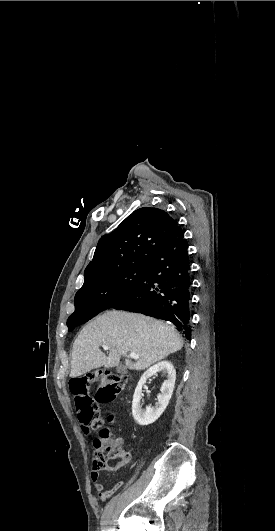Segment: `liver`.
<instances>
[{
	"instance_id": "liver-1",
	"label": "liver",
	"mask_w": 275,
	"mask_h": 531,
	"mask_svg": "<svg viewBox=\"0 0 275 531\" xmlns=\"http://www.w3.org/2000/svg\"><path fill=\"white\" fill-rule=\"evenodd\" d=\"M107 345L109 355L99 347ZM183 347L181 335L173 325L125 311H105L79 333L72 349L70 377H80L92 369L118 367L126 357L128 369L144 371ZM128 353L140 359L132 361Z\"/></svg>"
}]
</instances>
